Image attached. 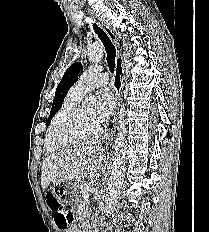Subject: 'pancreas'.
<instances>
[{
  "instance_id": "pancreas-1",
  "label": "pancreas",
  "mask_w": 209,
  "mask_h": 232,
  "mask_svg": "<svg viewBox=\"0 0 209 232\" xmlns=\"http://www.w3.org/2000/svg\"><path fill=\"white\" fill-rule=\"evenodd\" d=\"M89 187H90V183L84 182L83 184H81V185H80V190H81L82 194H83V193H87L88 190H89ZM81 204H84V202L81 201Z\"/></svg>"
}]
</instances>
